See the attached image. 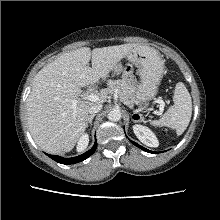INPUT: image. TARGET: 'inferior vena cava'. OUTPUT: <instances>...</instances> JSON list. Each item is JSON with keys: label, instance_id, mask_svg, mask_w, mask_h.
<instances>
[{"label": "inferior vena cava", "instance_id": "1", "mask_svg": "<svg viewBox=\"0 0 220 220\" xmlns=\"http://www.w3.org/2000/svg\"><path fill=\"white\" fill-rule=\"evenodd\" d=\"M101 108H102L101 104H96V105L91 106L88 110V113H89L88 119L90 120V117L98 113L101 110Z\"/></svg>", "mask_w": 220, "mask_h": 220}]
</instances>
